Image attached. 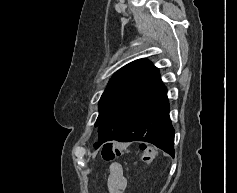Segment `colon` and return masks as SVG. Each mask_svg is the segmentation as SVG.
Returning <instances> with one entry per match:
<instances>
[{
  "label": "colon",
  "instance_id": "5ec220e1",
  "mask_svg": "<svg viewBox=\"0 0 237 193\" xmlns=\"http://www.w3.org/2000/svg\"><path fill=\"white\" fill-rule=\"evenodd\" d=\"M140 149L143 162L147 164L151 163L155 157L154 151L146 145H142ZM124 151L125 147L121 144L107 143L104 145L101 154L104 160L111 161Z\"/></svg>",
  "mask_w": 237,
  "mask_h": 193
}]
</instances>
